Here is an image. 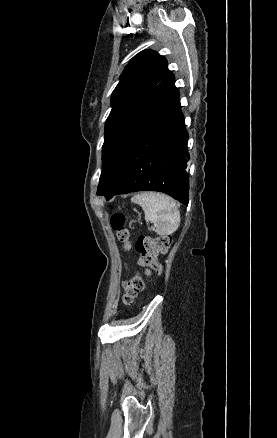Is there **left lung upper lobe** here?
<instances>
[{"mask_svg":"<svg viewBox=\"0 0 277 438\" xmlns=\"http://www.w3.org/2000/svg\"><path fill=\"white\" fill-rule=\"evenodd\" d=\"M174 83L166 59L154 51L138 53L126 66L112 93V109L105 123L98 195L118 177L131 145L138 112L150 94L166 100L181 113L179 91Z\"/></svg>","mask_w":277,"mask_h":438,"instance_id":"5c2ea615","label":"left lung upper lobe"}]
</instances>
